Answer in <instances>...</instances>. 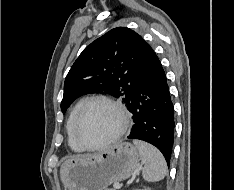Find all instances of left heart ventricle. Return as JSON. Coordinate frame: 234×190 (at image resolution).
Segmentation results:
<instances>
[{"mask_svg": "<svg viewBox=\"0 0 234 190\" xmlns=\"http://www.w3.org/2000/svg\"><path fill=\"white\" fill-rule=\"evenodd\" d=\"M120 126L117 112L105 103H94L84 113L79 137L87 145H97L110 139Z\"/></svg>", "mask_w": 234, "mask_h": 190, "instance_id": "1", "label": "left heart ventricle"}]
</instances>
